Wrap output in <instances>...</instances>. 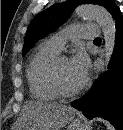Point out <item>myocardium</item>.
Returning a JSON list of instances; mask_svg holds the SVG:
<instances>
[{
    "label": "myocardium",
    "mask_w": 123,
    "mask_h": 130,
    "mask_svg": "<svg viewBox=\"0 0 123 130\" xmlns=\"http://www.w3.org/2000/svg\"><path fill=\"white\" fill-rule=\"evenodd\" d=\"M59 61H60V59L54 61L53 65L51 67V79H52L53 87L59 97H62V98L75 97L76 95H78L79 93L82 92V90L85 87V84L83 83L78 88L72 89V90L65 88L64 85L62 84V82L60 81L58 71H57V65H58Z\"/></svg>",
    "instance_id": "myocardium-1"
}]
</instances>
